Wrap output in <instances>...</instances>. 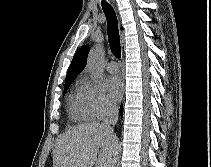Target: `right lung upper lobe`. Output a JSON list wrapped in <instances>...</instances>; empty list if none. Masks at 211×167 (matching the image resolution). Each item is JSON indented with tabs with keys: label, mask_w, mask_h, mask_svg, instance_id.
<instances>
[{
	"label": "right lung upper lobe",
	"mask_w": 211,
	"mask_h": 167,
	"mask_svg": "<svg viewBox=\"0 0 211 167\" xmlns=\"http://www.w3.org/2000/svg\"><path fill=\"white\" fill-rule=\"evenodd\" d=\"M89 47H81L74 55L70 67L67 72L66 80L73 81L74 78L85 68Z\"/></svg>",
	"instance_id": "1"
}]
</instances>
